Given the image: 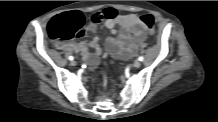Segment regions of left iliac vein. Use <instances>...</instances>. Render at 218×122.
Here are the masks:
<instances>
[{"mask_svg":"<svg viewBox=\"0 0 218 122\" xmlns=\"http://www.w3.org/2000/svg\"><path fill=\"white\" fill-rule=\"evenodd\" d=\"M141 65V62L139 60H136L134 63H133V67L135 68H139Z\"/></svg>","mask_w":218,"mask_h":122,"instance_id":"obj_1","label":"left iliac vein"}]
</instances>
